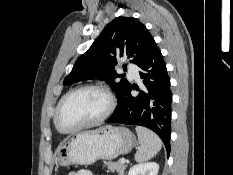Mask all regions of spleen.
<instances>
[{
	"label": "spleen",
	"mask_w": 233,
	"mask_h": 175,
	"mask_svg": "<svg viewBox=\"0 0 233 175\" xmlns=\"http://www.w3.org/2000/svg\"><path fill=\"white\" fill-rule=\"evenodd\" d=\"M135 130L140 143V147L135 154V160L142 163L150 160L161 150L162 141L154 132L145 127L137 126Z\"/></svg>",
	"instance_id": "obj_1"
}]
</instances>
